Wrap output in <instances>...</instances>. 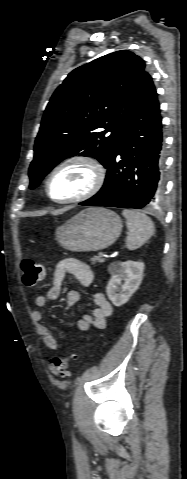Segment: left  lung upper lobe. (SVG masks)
Masks as SVG:
<instances>
[{
    "label": "left lung upper lobe",
    "instance_id": "left-lung-upper-lobe-1",
    "mask_svg": "<svg viewBox=\"0 0 187 479\" xmlns=\"http://www.w3.org/2000/svg\"><path fill=\"white\" fill-rule=\"evenodd\" d=\"M147 75L143 59L128 50L73 70L46 107L29 187L36 188L60 161L75 155L94 157L106 167Z\"/></svg>",
    "mask_w": 187,
    "mask_h": 479
}]
</instances>
